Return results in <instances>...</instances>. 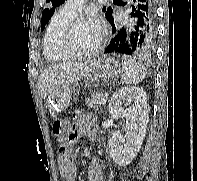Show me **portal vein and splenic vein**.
<instances>
[{
    "label": "portal vein and splenic vein",
    "instance_id": "18ae733b",
    "mask_svg": "<svg viewBox=\"0 0 197 181\" xmlns=\"http://www.w3.org/2000/svg\"><path fill=\"white\" fill-rule=\"evenodd\" d=\"M106 103V100L104 98H102L99 102V104L104 105Z\"/></svg>",
    "mask_w": 197,
    "mask_h": 181
}]
</instances>
